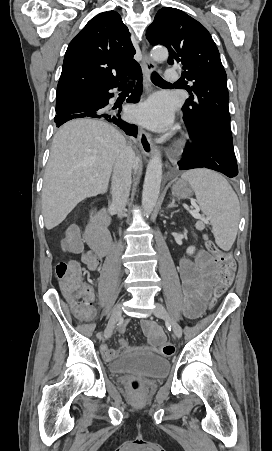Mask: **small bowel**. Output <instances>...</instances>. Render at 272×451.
<instances>
[{
	"label": "small bowel",
	"mask_w": 272,
	"mask_h": 451,
	"mask_svg": "<svg viewBox=\"0 0 272 451\" xmlns=\"http://www.w3.org/2000/svg\"><path fill=\"white\" fill-rule=\"evenodd\" d=\"M81 263L88 271H96L102 256L95 253L93 249L83 251L81 244ZM215 256L205 250L197 251L194 260L182 257L177 269L183 287L182 309L190 317L197 316L204 306L206 299L205 282L207 271L214 263ZM142 327L148 335V343L141 346H129L126 339L120 340L119 347L110 349L102 347V353L107 361H111L127 352L154 351L164 342L165 337L161 329L150 321H143Z\"/></svg>",
	"instance_id": "c3829d8e"
}]
</instances>
